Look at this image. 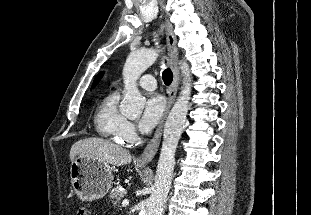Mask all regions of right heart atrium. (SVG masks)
I'll list each match as a JSON object with an SVG mask.
<instances>
[{
	"label": "right heart atrium",
	"mask_w": 311,
	"mask_h": 215,
	"mask_svg": "<svg viewBox=\"0 0 311 215\" xmlns=\"http://www.w3.org/2000/svg\"><path fill=\"white\" fill-rule=\"evenodd\" d=\"M120 137L122 142L132 143L137 138L135 126L132 122L126 120L121 128Z\"/></svg>",
	"instance_id": "d8ad5b80"
}]
</instances>
